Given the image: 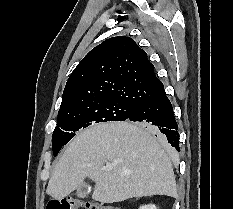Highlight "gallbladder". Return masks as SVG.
<instances>
[{"label":"gallbladder","instance_id":"obj_1","mask_svg":"<svg viewBox=\"0 0 233 209\" xmlns=\"http://www.w3.org/2000/svg\"><path fill=\"white\" fill-rule=\"evenodd\" d=\"M90 186L88 184H82L80 187L77 188V196L80 198H84L89 195L90 193Z\"/></svg>","mask_w":233,"mask_h":209}]
</instances>
